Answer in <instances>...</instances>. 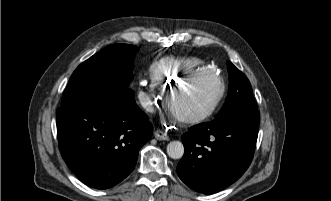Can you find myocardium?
<instances>
[{
  "label": "myocardium",
  "instance_id": "1",
  "mask_svg": "<svg viewBox=\"0 0 331 201\" xmlns=\"http://www.w3.org/2000/svg\"><path fill=\"white\" fill-rule=\"evenodd\" d=\"M206 70H208L209 72H204V70H200L197 72L192 73L186 80L173 84L172 86H170L167 89L166 92V104L168 106V109L176 116V118L183 122V123H197L200 122L204 119H206L207 117H209L217 108V106L219 105V103L221 102L224 94H225V83L223 78L218 75L215 71H212L208 68H206ZM210 74L212 76L215 77L216 81L218 82V91L215 94V96L211 99V101L204 106L202 109H200L199 111L193 113V114H189V115H184V114H179L174 110L173 107V102H172V95L174 93V91L180 87H183L199 78H201L204 75Z\"/></svg>",
  "mask_w": 331,
  "mask_h": 201
}]
</instances>
